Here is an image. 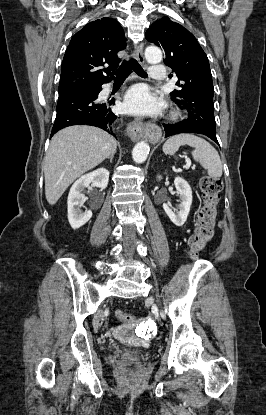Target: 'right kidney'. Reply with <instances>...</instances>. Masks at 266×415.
Wrapping results in <instances>:
<instances>
[{"label": "right kidney", "instance_id": "1", "mask_svg": "<svg viewBox=\"0 0 266 415\" xmlns=\"http://www.w3.org/2000/svg\"><path fill=\"white\" fill-rule=\"evenodd\" d=\"M109 171L105 168H99L91 173L83 175L71 187L68 195V220L73 229L82 227L92 217V211L87 210L82 212L80 210L81 200L84 197L82 193L84 189L92 183L94 187H99L102 190L108 185Z\"/></svg>", "mask_w": 266, "mask_h": 415}]
</instances>
